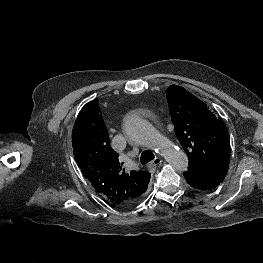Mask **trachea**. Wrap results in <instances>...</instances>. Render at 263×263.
<instances>
[{"label":"trachea","instance_id":"obj_1","mask_svg":"<svg viewBox=\"0 0 263 263\" xmlns=\"http://www.w3.org/2000/svg\"><path fill=\"white\" fill-rule=\"evenodd\" d=\"M155 158L154 154L150 151H144L141 154L140 161L142 164H146Z\"/></svg>","mask_w":263,"mask_h":263}]
</instances>
